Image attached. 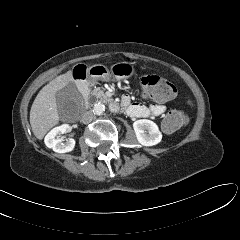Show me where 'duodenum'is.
<instances>
[{
	"mask_svg": "<svg viewBox=\"0 0 240 240\" xmlns=\"http://www.w3.org/2000/svg\"><path fill=\"white\" fill-rule=\"evenodd\" d=\"M77 86L80 93L83 95L84 98L89 96L90 87H89V79L85 76L77 77ZM110 109L113 112H117L120 109V105L117 102L110 103Z\"/></svg>",
	"mask_w": 240,
	"mask_h": 240,
	"instance_id": "obj_1",
	"label": "duodenum"
}]
</instances>
